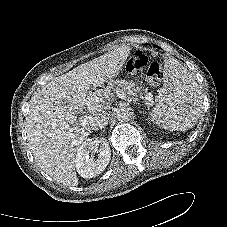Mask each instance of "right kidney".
I'll return each mask as SVG.
<instances>
[{"mask_svg":"<svg viewBox=\"0 0 227 227\" xmlns=\"http://www.w3.org/2000/svg\"><path fill=\"white\" fill-rule=\"evenodd\" d=\"M95 149L92 140L85 141L79 148L75 166L78 174L83 178H93L103 172L109 164L111 150L106 140L101 139L98 158L90 157V152Z\"/></svg>","mask_w":227,"mask_h":227,"instance_id":"right-kidney-1","label":"right kidney"}]
</instances>
